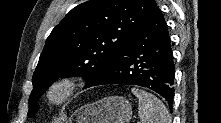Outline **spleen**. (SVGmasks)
I'll return each instance as SVG.
<instances>
[{"label":"spleen","instance_id":"spleen-1","mask_svg":"<svg viewBox=\"0 0 221 123\" xmlns=\"http://www.w3.org/2000/svg\"><path fill=\"white\" fill-rule=\"evenodd\" d=\"M131 92L139 100L141 123H171L168 109L156 96L138 88H132Z\"/></svg>","mask_w":221,"mask_h":123}]
</instances>
